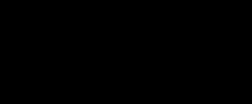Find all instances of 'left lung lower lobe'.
Listing matches in <instances>:
<instances>
[{"label":"left lung lower lobe","mask_w":252,"mask_h":104,"mask_svg":"<svg viewBox=\"0 0 252 104\" xmlns=\"http://www.w3.org/2000/svg\"><path fill=\"white\" fill-rule=\"evenodd\" d=\"M217 94V74L208 72L178 77L158 90L138 92L134 96L157 104H214Z\"/></svg>","instance_id":"obj_1"}]
</instances>
